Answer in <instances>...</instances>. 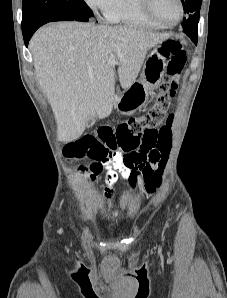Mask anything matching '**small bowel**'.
<instances>
[{"label":"small bowel","instance_id":"1","mask_svg":"<svg viewBox=\"0 0 227 298\" xmlns=\"http://www.w3.org/2000/svg\"><path fill=\"white\" fill-rule=\"evenodd\" d=\"M62 146L66 151L65 158H100L92 159L93 162L88 168L81 167L80 169L88 172L90 184L103 170L106 171V187L103 192V206L100 210L102 216L115 217L117 215V210L113 208L112 187L119 177L125 179L132 189L136 190L143 184L147 193H151L154 178H150V173H157V168L164 166L141 151L110 150L107 142L103 139H96V134H82V139L63 142Z\"/></svg>","mask_w":227,"mask_h":298}]
</instances>
